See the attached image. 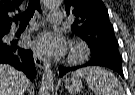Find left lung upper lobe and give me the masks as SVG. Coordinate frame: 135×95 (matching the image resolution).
<instances>
[{"mask_svg":"<svg viewBox=\"0 0 135 95\" xmlns=\"http://www.w3.org/2000/svg\"><path fill=\"white\" fill-rule=\"evenodd\" d=\"M66 13L76 16L72 32L87 42L91 53H104L110 48L118 51V43L108 11L102 0H64Z\"/></svg>","mask_w":135,"mask_h":95,"instance_id":"obj_1","label":"left lung upper lobe"}]
</instances>
